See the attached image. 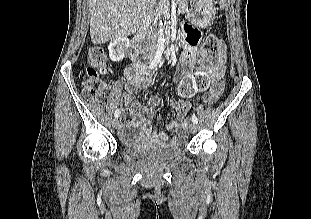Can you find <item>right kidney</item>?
Masks as SVG:
<instances>
[{"mask_svg": "<svg viewBox=\"0 0 311 219\" xmlns=\"http://www.w3.org/2000/svg\"><path fill=\"white\" fill-rule=\"evenodd\" d=\"M129 47L130 41L127 37L115 38L108 46L110 59L114 62L121 61L129 51Z\"/></svg>", "mask_w": 311, "mask_h": 219, "instance_id": "right-kidney-1", "label": "right kidney"}]
</instances>
